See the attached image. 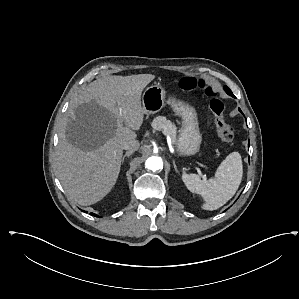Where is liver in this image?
<instances>
[{
    "label": "liver",
    "mask_w": 299,
    "mask_h": 299,
    "mask_svg": "<svg viewBox=\"0 0 299 299\" xmlns=\"http://www.w3.org/2000/svg\"><path fill=\"white\" fill-rule=\"evenodd\" d=\"M154 78L105 76L87 85L72 102L57 146L56 167L65 192L79 205L97 203L115 185L122 144L135 139L134 130L143 124L141 95Z\"/></svg>",
    "instance_id": "6515ba94"
}]
</instances>
